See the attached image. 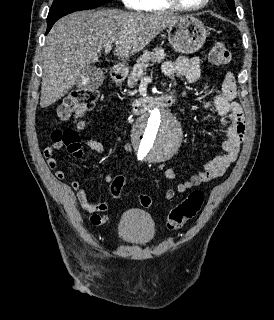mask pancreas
<instances>
[{"label": "pancreas", "instance_id": "pancreas-1", "mask_svg": "<svg viewBox=\"0 0 274 320\" xmlns=\"http://www.w3.org/2000/svg\"><path fill=\"white\" fill-rule=\"evenodd\" d=\"M165 52L163 48H153L151 52H144L143 56L138 58L132 72H130V76L127 80L129 88H134L136 82L140 80L141 76H144L143 70L149 68L151 64H155V62H163L165 60ZM134 106V104H132Z\"/></svg>", "mask_w": 274, "mask_h": 320}]
</instances>
